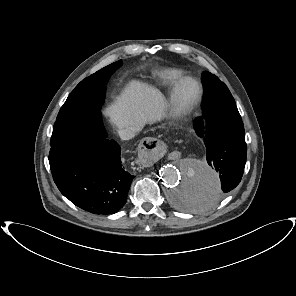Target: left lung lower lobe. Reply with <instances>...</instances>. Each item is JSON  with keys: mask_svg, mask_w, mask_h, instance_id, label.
I'll list each match as a JSON object with an SVG mask.
<instances>
[{"mask_svg": "<svg viewBox=\"0 0 296 296\" xmlns=\"http://www.w3.org/2000/svg\"><path fill=\"white\" fill-rule=\"evenodd\" d=\"M193 126L205 144L208 164L221 180V188L216 192L203 191L191 180L178 192L181 208L200 211L216 204L240 183L247 145L244 125L232 96L203 100L202 116L194 120Z\"/></svg>", "mask_w": 296, "mask_h": 296, "instance_id": "1", "label": "left lung lower lobe"}]
</instances>
